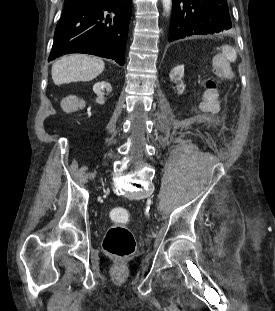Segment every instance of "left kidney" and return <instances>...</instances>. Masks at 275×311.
<instances>
[{"label":"left kidney","instance_id":"5707ae66","mask_svg":"<svg viewBox=\"0 0 275 311\" xmlns=\"http://www.w3.org/2000/svg\"><path fill=\"white\" fill-rule=\"evenodd\" d=\"M184 67L176 66L170 72L169 78L174 81V88L179 89V94H182L185 90V85L183 84Z\"/></svg>","mask_w":275,"mask_h":311}]
</instances>
